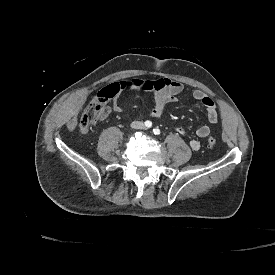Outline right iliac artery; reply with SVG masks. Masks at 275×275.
Returning <instances> with one entry per match:
<instances>
[{
	"instance_id": "1",
	"label": "right iliac artery",
	"mask_w": 275,
	"mask_h": 275,
	"mask_svg": "<svg viewBox=\"0 0 275 275\" xmlns=\"http://www.w3.org/2000/svg\"><path fill=\"white\" fill-rule=\"evenodd\" d=\"M151 126H152V122L151 121H149V120L145 121V127L146 128H150Z\"/></svg>"
}]
</instances>
